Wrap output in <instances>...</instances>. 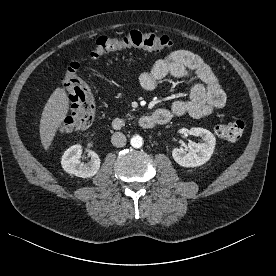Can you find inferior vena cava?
<instances>
[{"label":"inferior vena cava","mask_w":276,"mask_h":276,"mask_svg":"<svg viewBox=\"0 0 276 276\" xmlns=\"http://www.w3.org/2000/svg\"><path fill=\"white\" fill-rule=\"evenodd\" d=\"M111 143L115 147H124L126 145V137L122 132H115L111 137Z\"/></svg>","instance_id":"1"}]
</instances>
